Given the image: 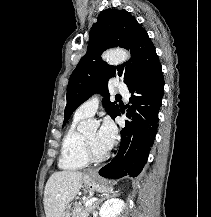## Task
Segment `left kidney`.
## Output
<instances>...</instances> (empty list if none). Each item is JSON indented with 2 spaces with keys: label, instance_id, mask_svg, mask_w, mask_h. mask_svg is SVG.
<instances>
[{
  "label": "left kidney",
  "instance_id": "5707ae66",
  "mask_svg": "<svg viewBox=\"0 0 211 217\" xmlns=\"http://www.w3.org/2000/svg\"><path fill=\"white\" fill-rule=\"evenodd\" d=\"M125 207L124 201L119 198H110L105 201L100 210V217H118Z\"/></svg>",
  "mask_w": 211,
  "mask_h": 217
}]
</instances>
